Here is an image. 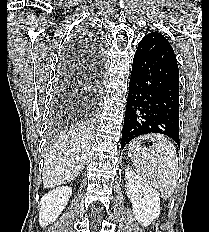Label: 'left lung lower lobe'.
<instances>
[{
	"instance_id": "0a47b994",
	"label": "left lung lower lobe",
	"mask_w": 209,
	"mask_h": 232,
	"mask_svg": "<svg viewBox=\"0 0 209 232\" xmlns=\"http://www.w3.org/2000/svg\"><path fill=\"white\" fill-rule=\"evenodd\" d=\"M160 133L179 140V70L174 50L161 38H143L135 52L122 149L132 139Z\"/></svg>"
}]
</instances>
